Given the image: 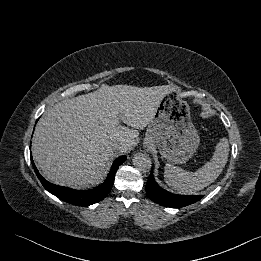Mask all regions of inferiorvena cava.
<instances>
[{
	"label": "inferior vena cava",
	"mask_w": 261,
	"mask_h": 261,
	"mask_svg": "<svg viewBox=\"0 0 261 261\" xmlns=\"http://www.w3.org/2000/svg\"><path fill=\"white\" fill-rule=\"evenodd\" d=\"M120 146H121V143H119V142L114 143V144L112 145V149H113V150H117V149L120 148Z\"/></svg>",
	"instance_id": "1"
}]
</instances>
